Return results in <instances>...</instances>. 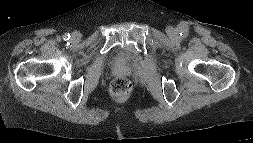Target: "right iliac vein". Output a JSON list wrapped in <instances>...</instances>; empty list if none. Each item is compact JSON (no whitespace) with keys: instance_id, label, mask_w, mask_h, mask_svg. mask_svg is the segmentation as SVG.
Returning a JSON list of instances; mask_svg holds the SVG:
<instances>
[{"instance_id":"obj_1","label":"right iliac vein","mask_w":253,"mask_h":143,"mask_svg":"<svg viewBox=\"0 0 253 143\" xmlns=\"http://www.w3.org/2000/svg\"><path fill=\"white\" fill-rule=\"evenodd\" d=\"M72 38H73L74 40H77V39H78V35H77V34H74V35L72 36Z\"/></svg>"}]
</instances>
